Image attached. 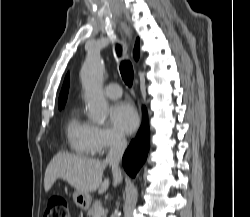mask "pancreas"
Wrapping results in <instances>:
<instances>
[{
    "mask_svg": "<svg viewBox=\"0 0 250 217\" xmlns=\"http://www.w3.org/2000/svg\"><path fill=\"white\" fill-rule=\"evenodd\" d=\"M101 206H102V204H101L100 201H95V202H93L92 207L87 211V216H88V217H94L95 211H96L99 207H101ZM102 217H106V215L104 214V215H102Z\"/></svg>",
    "mask_w": 250,
    "mask_h": 217,
    "instance_id": "pancreas-1",
    "label": "pancreas"
}]
</instances>
